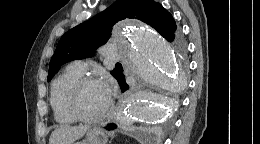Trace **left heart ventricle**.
<instances>
[{
    "instance_id": "left-heart-ventricle-1",
    "label": "left heart ventricle",
    "mask_w": 260,
    "mask_h": 144,
    "mask_svg": "<svg viewBox=\"0 0 260 144\" xmlns=\"http://www.w3.org/2000/svg\"><path fill=\"white\" fill-rule=\"evenodd\" d=\"M108 99L102 89L101 83H90L81 91L78 106L82 113L88 116L96 115L105 108Z\"/></svg>"
}]
</instances>
